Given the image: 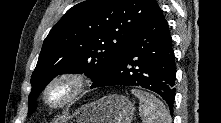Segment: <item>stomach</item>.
I'll return each instance as SVG.
<instances>
[{
    "instance_id": "obj_1",
    "label": "stomach",
    "mask_w": 221,
    "mask_h": 123,
    "mask_svg": "<svg viewBox=\"0 0 221 123\" xmlns=\"http://www.w3.org/2000/svg\"><path fill=\"white\" fill-rule=\"evenodd\" d=\"M134 105L118 94L108 95L76 109L69 116V123H131Z\"/></svg>"
}]
</instances>
